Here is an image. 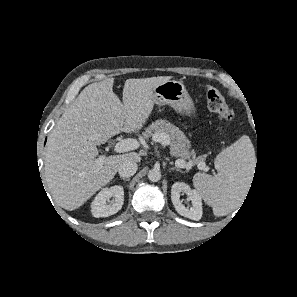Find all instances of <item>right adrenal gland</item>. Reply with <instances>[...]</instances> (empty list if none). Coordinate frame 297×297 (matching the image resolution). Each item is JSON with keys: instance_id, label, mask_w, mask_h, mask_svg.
<instances>
[{"instance_id": "2a0ac1e0", "label": "right adrenal gland", "mask_w": 297, "mask_h": 297, "mask_svg": "<svg viewBox=\"0 0 297 297\" xmlns=\"http://www.w3.org/2000/svg\"><path fill=\"white\" fill-rule=\"evenodd\" d=\"M120 178L124 181H130V178H126V177H120Z\"/></svg>"}]
</instances>
